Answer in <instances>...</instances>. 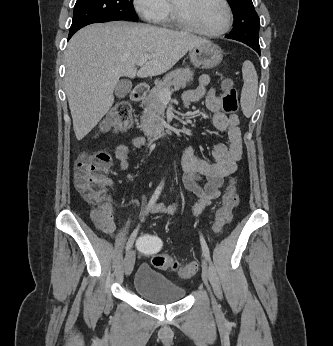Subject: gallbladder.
Here are the masks:
<instances>
[{
    "label": "gallbladder",
    "instance_id": "gallbladder-1",
    "mask_svg": "<svg viewBox=\"0 0 333 346\" xmlns=\"http://www.w3.org/2000/svg\"><path fill=\"white\" fill-rule=\"evenodd\" d=\"M132 89V83L129 80H121L117 83L114 93L118 98H124Z\"/></svg>",
    "mask_w": 333,
    "mask_h": 346
}]
</instances>
